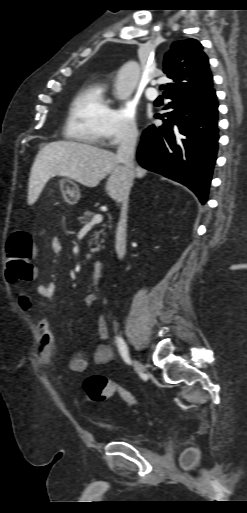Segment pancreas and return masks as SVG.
<instances>
[{"mask_svg": "<svg viewBox=\"0 0 247 513\" xmlns=\"http://www.w3.org/2000/svg\"><path fill=\"white\" fill-rule=\"evenodd\" d=\"M96 215L95 212H92V211H89V210H86L83 215H81L80 217H78V221L80 222V224H87L88 222H90L93 218V216ZM104 226V225H103ZM102 234V235H105V230L102 229L98 232H94V237L95 239H98L99 238V235ZM99 248H96L94 249L95 251H97Z\"/></svg>", "mask_w": 247, "mask_h": 513, "instance_id": "pancreas-1", "label": "pancreas"}]
</instances>
